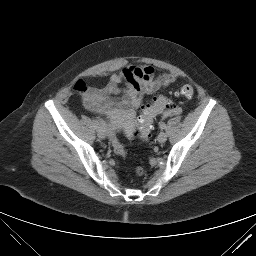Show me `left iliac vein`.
<instances>
[{"label": "left iliac vein", "instance_id": "left-iliac-vein-1", "mask_svg": "<svg viewBox=\"0 0 256 256\" xmlns=\"http://www.w3.org/2000/svg\"><path fill=\"white\" fill-rule=\"evenodd\" d=\"M157 140L159 143H165L166 140H167V134L164 133V132H160L158 137H157Z\"/></svg>", "mask_w": 256, "mask_h": 256}]
</instances>
